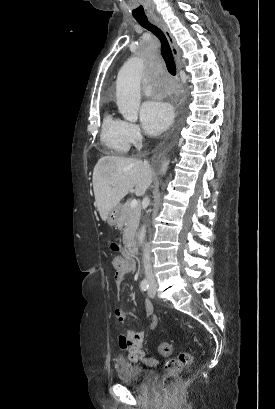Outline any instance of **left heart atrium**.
<instances>
[{"instance_id": "39dd6f15", "label": "left heart atrium", "mask_w": 275, "mask_h": 409, "mask_svg": "<svg viewBox=\"0 0 275 409\" xmlns=\"http://www.w3.org/2000/svg\"><path fill=\"white\" fill-rule=\"evenodd\" d=\"M141 118L147 131L157 135L170 125L173 112L169 104L161 100H151L142 106Z\"/></svg>"}]
</instances>
